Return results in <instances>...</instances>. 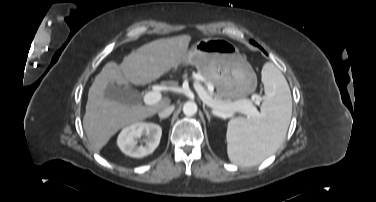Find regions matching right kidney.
I'll use <instances>...</instances> for the list:
<instances>
[{
    "label": "right kidney",
    "instance_id": "obj_1",
    "mask_svg": "<svg viewBox=\"0 0 376 202\" xmlns=\"http://www.w3.org/2000/svg\"><path fill=\"white\" fill-rule=\"evenodd\" d=\"M162 129L154 123L137 122L125 127L119 134L117 144L121 151L135 158L151 154L159 145ZM144 136V145H138V139Z\"/></svg>",
    "mask_w": 376,
    "mask_h": 202
}]
</instances>
